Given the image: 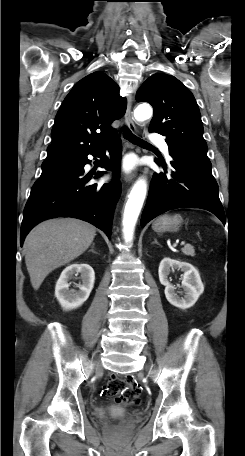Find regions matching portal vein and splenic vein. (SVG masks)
Instances as JSON below:
<instances>
[{
	"label": "portal vein and splenic vein",
	"instance_id": "18ae733b",
	"mask_svg": "<svg viewBox=\"0 0 245 456\" xmlns=\"http://www.w3.org/2000/svg\"><path fill=\"white\" fill-rule=\"evenodd\" d=\"M184 244H185V242H184V241H181L180 245H184Z\"/></svg>",
	"mask_w": 245,
	"mask_h": 456
}]
</instances>
